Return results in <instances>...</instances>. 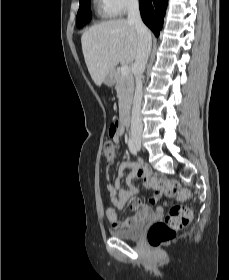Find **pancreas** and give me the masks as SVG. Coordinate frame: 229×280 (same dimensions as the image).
<instances>
[{
    "instance_id": "pancreas-1",
    "label": "pancreas",
    "mask_w": 229,
    "mask_h": 280,
    "mask_svg": "<svg viewBox=\"0 0 229 280\" xmlns=\"http://www.w3.org/2000/svg\"><path fill=\"white\" fill-rule=\"evenodd\" d=\"M116 90L119 99V112L123 113L132 99L134 83L130 75L123 76L119 69L115 71Z\"/></svg>"
}]
</instances>
